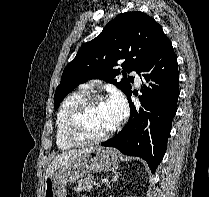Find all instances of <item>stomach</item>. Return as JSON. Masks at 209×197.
<instances>
[{
  "label": "stomach",
  "instance_id": "1",
  "mask_svg": "<svg viewBox=\"0 0 209 197\" xmlns=\"http://www.w3.org/2000/svg\"><path fill=\"white\" fill-rule=\"evenodd\" d=\"M119 154L116 150L93 147L86 155L70 161L45 178L43 197H66L65 186L79 178L93 173L105 172L118 168Z\"/></svg>",
  "mask_w": 209,
  "mask_h": 197
}]
</instances>
